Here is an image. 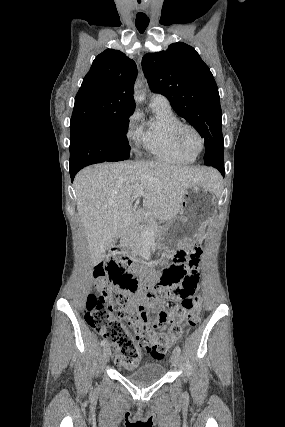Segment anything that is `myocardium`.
I'll return each mask as SVG.
<instances>
[{
  "label": "myocardium",
  "instance_id": "obj_1",
  "mask_svg": "<svg viewBox=\"0 0 285 427\" xmlns=\"http://www.w3.org/2000/svg\"><path fill=\"white\" fill-rule=\"evenodd\" d=\"M186 130H190V131H192L193 133H195V135L197 136V138H198V140H199L200 147H199V150H197L196 152H192V151L188 150V149L186 148V146L184 145V143H183V140H182V134H183V132H184V131H186ZM173 135H174V139H175V142H176L177 146H178V147H179L183 152H185V153H187V154H189V155L197 156V155H199V154L203 151V149H204L205 143H204V138H203L202 134L200 133V131H199L195 126H193V125H191V124L180 122L179 124H177V125L174 127V129H173Z\"/></svg>",
  "mask_w": 285,
  "mask_h": 427
}]
</instances>
